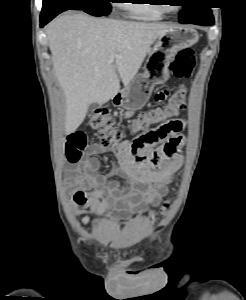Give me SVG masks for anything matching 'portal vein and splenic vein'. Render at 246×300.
<instances>
[{
    "mask_svg": "<svg viewBox=\"0 0 246 300\" xmlns=\"http://www.w3.org/2000/svg\"><path fill=\"white\" fill-rule=\"evenodd\" d=\"M118 57H119L118 55H112L110 61L112 62V61H114L115 58H118Z\"/></svg>",
    "mask_w": 246,
    "mask_h": 300,
    "instance_id": "1",
    "label": "portal vein and splenic vein"
}]
</instances>
